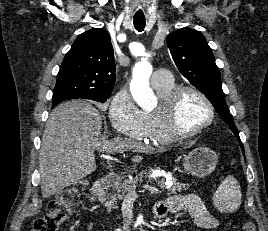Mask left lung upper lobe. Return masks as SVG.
<instances>
[{"mask_svg":"<svg viewBox=\"0 0 268 231\" xmlns=\"http://www.w3.org/2000/svg\"><path fill=\"white\" fill-rule=\"evenodd\" d=\"M167 45L180 73L210 100L241 142L225 101L219 69L204 35L188 27L181 28L167 36Z\"/></svg>","mask_w":268,"mask_h":231,"instance_id":"obj_1","label":"left lung upper lobe"}]
</instances>
